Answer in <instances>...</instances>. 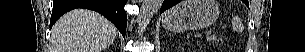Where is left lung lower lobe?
I'll return each instance as SVG.
<instances>
[{"mask_svg": "<svg viewBox=\"0 0 305 52\" xmlns=\"http://www.w3.org/2000/svg\"><path fill=\"white\" fill-rule=\"evenodd\" d=\"M178 2H180V0H164L162 7L160 9V13H162L165 10L169 9L170 7L174 6Z\"/></svg>", "mask_w": 305, "mask_h": 52, "instance_id": "0a47b994", "label": "left lung lower lobe"}]
</instances>
